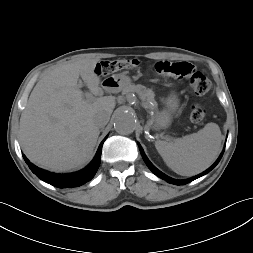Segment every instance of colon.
Listing matches in <instances>:
<instances>
[{
  "label": "colon",
  "instance_id": "1",
  "mask_svg": "<svg viewBox=\"0 0 253 253\" xmlns=\"http://www.w3.org/2000/svg\"><path fill=\"white\" fill-rule=\"evenodd\" d=\"M139 65L140 62L136 59L104 61L97 65L96 72L106 76L121 70L136 69ZM155 69L164 77L188 80L191 91L196 95L206 94L211 89V81L208 77L188 62L159 61ZM205 116L206 109L202 105L195 104L191 107L190 119L193 123L202 122Z\"/></svg>",
  "mask_w": 253,
  "mask_h": 253
}]
</instances>
